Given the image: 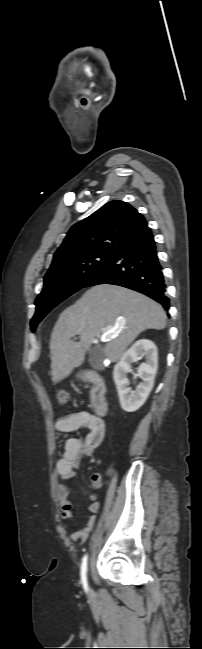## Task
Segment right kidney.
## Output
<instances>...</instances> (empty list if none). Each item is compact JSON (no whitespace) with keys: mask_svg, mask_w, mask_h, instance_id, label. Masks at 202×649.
Listing matches in <instances>:
<instances>
[{"mask_svg":"<svg viewBox=\"0 0 202 649\" xmlns=\"http://www.w3.org/2000/svg\"><path fill=\"white\" fill-rule=\"evenodd\" d=\"M144 357L145 362L138 367V374L142 377L135 391L129 387L127 373L131 372V364ZM158 368V352L156 345L148 339L136 341L115 365L113 379L119 395L123 410L134 412L138 410L148 398L153 386Z\"/></svg>","mask_w":202,"mask_h":649,"instance_id":"obj_1","label":"right kidney"}]
</instances>
